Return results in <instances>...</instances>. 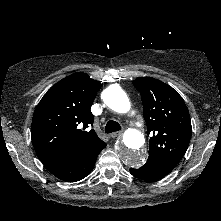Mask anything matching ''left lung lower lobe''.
<instances>
[{
	"instance_id": "0a47b994",
	"label": "left lung lower lobe",
	"mask_w": 221,
	"mask_h": 221,
	"mask_svg": "<svg viewBox=\"0 0 221 221\" xmlns=\"http://www.w3.org/2000/svg\"><path fill=\"white\" fill-rule=\"evenodd\" d=\"M130 173L146 181H154L163 178L168 173L163 171L153 160L148 159L146 164L139 169H130Z\"/></svg>"
}]
</instances>
